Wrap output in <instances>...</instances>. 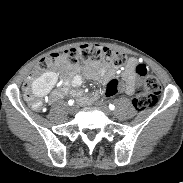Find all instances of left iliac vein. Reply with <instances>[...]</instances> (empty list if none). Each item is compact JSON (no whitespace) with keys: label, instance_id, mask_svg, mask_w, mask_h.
Listing matches in <instances>:
<instances>
[{"label":"left iliac vein","instance_id":"left-iliac-vein-1","mask_svg":"<svg viewBox=\"0 0 183 183\" xmlns=\"http://www.w3.org/2000/svg\"><path fill=\"white\" fill-rule=\"evenodd\" d=\"M97 105V107L100 109V110H102L106 115H111V111L109 110V108L105 105V104H103V103H97L96 104Z\"/></svg>","mask_w":183,"mask_h":183}]
</instances>
